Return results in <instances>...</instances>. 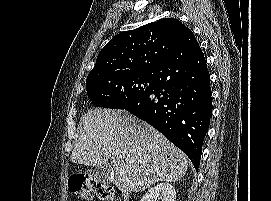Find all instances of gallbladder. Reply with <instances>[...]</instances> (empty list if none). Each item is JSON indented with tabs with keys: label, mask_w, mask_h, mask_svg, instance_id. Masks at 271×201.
I'll list each match as a JSON object with an SVG mask.
<instances>
[{
	"label": "gallbladder",
	"mask_w": 271,
	"mask_h": 201,
	"mask_svg": "<svg viewBox=\"0 0 271 201\" xmlns=\"http://www.w3.org/2000/svg\"><path fill=\"white\" fill-rule=\"evenodd\" d=\"M113 165L105 163L104 165L97 166L91 170L92 176L96 182L108 184L113 180Z\"/></svg>",
	"instance_id": "gallbladder-1"
}]
</instances>
